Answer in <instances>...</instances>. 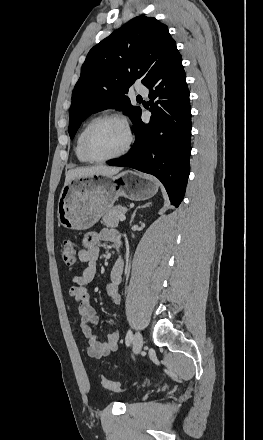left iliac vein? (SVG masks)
Instances as JSON below:
<instances>
[{
	"mask_svg": "<svg viewBox=\"0 0 263 440\" xmlns=\"http://www.w3.org/2000/svg\"><path fill=\"white\" fill-rule=\"evenodd\" d=\"M143 347V337L141 333L138 331L136 332L134 339H133V351L135 354H138Z\"/></svg>",
	"mask_w": 263,
	"mask_h": 440,
	"instance_id": "1",
	"label": "left iliac vein"
}]
</instances>
